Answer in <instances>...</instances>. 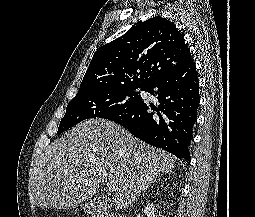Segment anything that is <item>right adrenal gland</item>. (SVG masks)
<instances>
[{"mask_svg":"<svg viewBox=\"0 0 255 217\" xmlns=\"http://www.w3.org/2000/svg\"><path fill=\"white\" fill-rule=\"evenodd\" d=\"M156 181H157V179H155V180H154L153 182H151V183H154V182H156ZM148 186H149V185H148ZM148 186H147V187H148Z\"/></svg>","mask_w":255,"mask_h":217,"instance_id":"1","label":"right adrenal gland"}]
</instances>
